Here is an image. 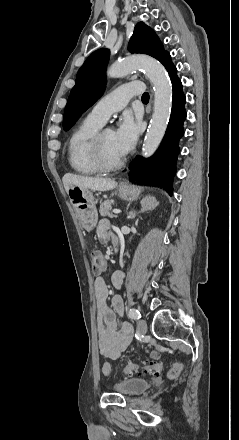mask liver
<instances>
[{"instance_id": "6515ba94", "label": "liver", "mask_w": 239, "mask_h": 440, "mask_svg": "<svg viewBox=\"0 0 239 440\" xmlns=\"http://www.w3.org/2000/svg\"><path fill=\"white\" fill-rule=\"evenodd\" d=\"M62 180L67 194L76 186L93 190V192H108L117 186V182L110 180V178H89V176H76V174H65Z\"/></svg>"}]
</instances>
